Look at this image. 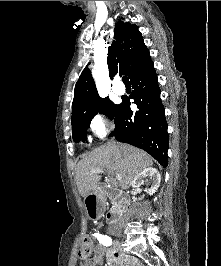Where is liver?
<instances>
[{"label":"liver","instance_id":"6515ba94","mask_svg":"<svg viewBox=\"0 0 221 266\" xmlns=\"http://www.w3.org/2000/svg\"><path fill=\"white\" fill-rule=\"evenodd\" d=\"M153 165V159L145 151L126 144L108 143L83 156L76 166V184L80 195L87 197L89 189H94L101 176L91 173L93 169H106L110 174H119L118 185L128 189L134 178L145 168Z\"/></svg>","mask_w":221,"mask_h":266}]
</instances>
